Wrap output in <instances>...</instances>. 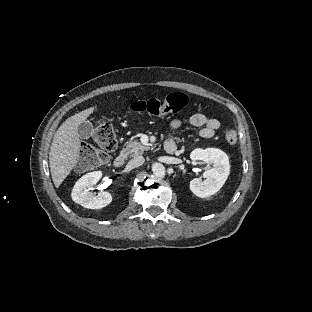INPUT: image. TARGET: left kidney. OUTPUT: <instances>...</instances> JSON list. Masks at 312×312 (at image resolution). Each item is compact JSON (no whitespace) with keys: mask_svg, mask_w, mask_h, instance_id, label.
<instances>
[{"mask_svg":"<svg viewBox=\"0 0 312 312\" xmlns=\"http://www.w3.org/2000/svg\"><path fill=\"white\" fill-rule=\"evenodd\" d=\"M191 158L193 160H201L203 164H210L212 162V168L204 173L207 179L203 182H201V179L190 181V191L201 198H208L214 195L225 185L230 173L227 154L213 148L206 150L195 149L191 153Z\"/></svg>","mask_w":312,"mask_h":312,"instance_id":"obj_1","label":"left kidney"}]
</instances>
